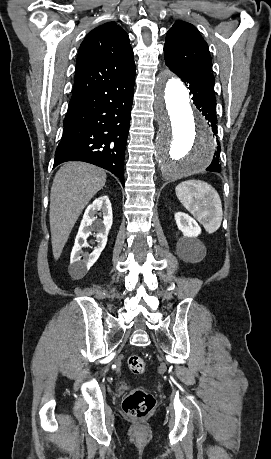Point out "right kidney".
<instances>
[{"label": "right kidney", "mask_w": 271, "mask_h": 459, "mask_svg": "<svg viewBox=\"0 0 271 459\" xmlns=\"http://www.w3.org/2000/svg\"><path fill=\"white\" fill-rule=\"evenodd\" d=\"M98 216H103V220H98ZM112 226V208L111 202L108 196H100L97 200H94L83 216V220L78 229V233L75 237V243L70 255V265L68 271L75 279H81L86 275L91 265L98 259L102 249H104L107 241V235L109 229ZM91 231H97L95 233L97 241V247H94L91 253H83L82 247L87 245V237H89ZM94 243V241H91Z\"/></svg>", "instance_id": "obj_1"}]
</instances>
